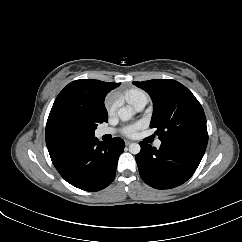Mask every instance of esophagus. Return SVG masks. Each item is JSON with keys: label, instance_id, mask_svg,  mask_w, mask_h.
I'll use <instances>...</instances> for the list:
<instances>
[{"label": "esophagus", "instance_id": "34e87169", "mask_svg": "<svg viewBox=\"0 0 242 242\" xmlns=\"http://www.w3.org/2000/svg\"><path fill=\"white\" fill-rule=\"evenodd\" d=\"M132 143V141H130V140H125V145H130Z\"/></svg>", "mask_w": 242, "mask_h": 242}]
</instances>
